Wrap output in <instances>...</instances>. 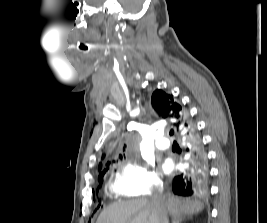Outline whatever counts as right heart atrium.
<instances>
[{"label": "right heart atrium", "mask_w": 267, "mask_h": 223, "mask_svg": "<svg viewBox=\"0 0 267 223\" xmlns=\"http://www.w3.org/2000/svg\"><path fill=\"white\" fill-rule=\"evenodd\" d=\"M115 187L126 195H151L163 186L160 175L149 164L128 161L116 176Z\"/></svg>", "instance_id": "right-heart-atrium-1"}]
</instances>
